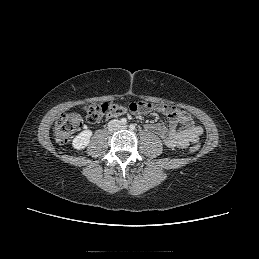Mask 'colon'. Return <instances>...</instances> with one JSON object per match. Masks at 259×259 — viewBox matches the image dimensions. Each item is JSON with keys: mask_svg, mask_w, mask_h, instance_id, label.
Listing matches in <instances>:
<instances>
[{"mask_svg": "<svg viewBox=\"0 0 259 259\" xmlns=\"http://www.w3.org/2000/svg\"><path fill=\"white\" fill-rule=\"evenodd\" d=\"M140 101H137V103ZM142 102V101H141ZM133 104L136 102H132ZM130 103V104H132ZM129 104V106H130ZM126 108L122 105L109 103H89L84 106L86 118L90 123H99L105 118L117 117L123 115L127 110L137 112L135 109ZM144 110L143 108L140 111ZM83 119L78 112H70L61 114L54 125V138L59 144L69 142L72 134L82 127ZM199 144H193L189 150L195 153L199 150Z\"/></svg>", "mask_w": 259, "mask_h": 259, "instance_id": "5ec220e1", "label": "colon"}]
</instances>
